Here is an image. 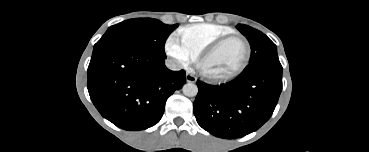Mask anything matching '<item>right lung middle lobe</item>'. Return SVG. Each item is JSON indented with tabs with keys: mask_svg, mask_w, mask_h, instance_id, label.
I'll return each instance as SVG.
<instances>
[{
	"mask_svg": "<svg viewBox=\"0 0 369 152\" xmlns=\"http://www.w3.org/2000/svg\"><path fill=\"white\" fill-rule=\"evenodd\" d=\"M177 26L151 18L126 20L108 28L94 45L93 54L116 45H131L165 59V41Z\"/></svg>",
	"mask_w": 369,
	"mask_h": 152,
	"instance_id": "dd1d6c3e",
	"label": "right lung middle lobe"
}]
</instances>
